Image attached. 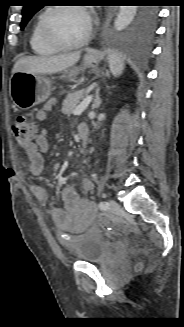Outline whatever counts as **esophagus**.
<instances>
[{
	"instance_id": "obj_1",
	"label": "esophagus",
	"mask_w": 184,
	"mask_h": 327,
	"mask_svg": "<svg viewBox=\"0 0 184 327\" xmlns=\"http://www.w3.org/2000/svg\"><path fill=\"white\" fill-rule=\"evenodd\" d=\"M108 25H109V17L106 19V21L103 25V32L107 29Z\"/></svg>"
}]
</instances>
